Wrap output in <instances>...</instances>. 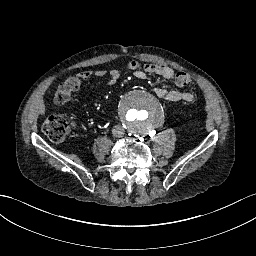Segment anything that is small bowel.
I'll use <instances>...</instances> for the list:
<instances>
[{
	"mask_svg": "<svg viewBox=\"0 0 256 256\" xmlns=\"http://www.w3.org/2000/svg\"><path fill=\"white\" fill-rule=\"evenodd\" d=\"M128 68L135 72V76L139 79H145L147 74H155L161 76L165 80L175 79V71L167 66L162 64H148L141 66L137 61H131L128 64ZM83 80H87L91 77L96 78H106L109 85H114L118 82L120 77V71L116 68L109 71L97 69L95 71H84L79 74ZM156 95L169 102H191L193 101L194 95L190 91H178V90H167L164 87H157L155 89Z\"/></svg>",
	"mask_w": 256,
	"mask_h": 256,
	"instance_id": "obj_1",
	"label": "small bowel"
}]
</instances>
